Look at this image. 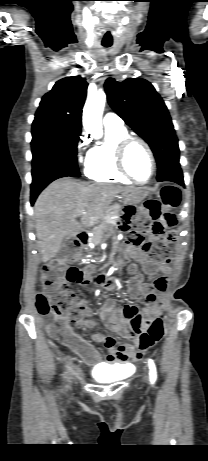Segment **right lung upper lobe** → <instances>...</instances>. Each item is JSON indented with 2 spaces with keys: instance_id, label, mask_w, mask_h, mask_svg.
Here are the masks:
<instances>
[{
  "instance_id": "cb5924a9",
  "label": "right lung upper lobe",
  "mask_w": 208,
  "mask_h": 461,
  "mask_svg": "<svg viewBox=\"0 0 208 461\" xmlns=\"http://www.w3.org/2000/svg\"><path fill=\"white\" fill-rule=\"evenodd\" d=\"M87 82L80 76L63 78L42 98L35 120L47 119L81 130Z\"/></svg>"
}]
</instances>
